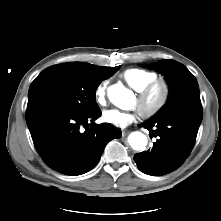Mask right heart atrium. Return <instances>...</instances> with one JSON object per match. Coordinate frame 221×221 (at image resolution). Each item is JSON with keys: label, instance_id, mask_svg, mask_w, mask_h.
<instances>
[{"label": "right heart atrium", "instance_id": "obj_1", "mask_svg": "<svg viewBox=\"0 0 221 221\" xmlns=\"http://www.w3.org/2000/svg\"><path fill=\"white\" fill-rule=\"evenodd\" d=\"M96 101L100 105H104L106 102V84L101 83L95 90Z\"/></svg>", "mask_w": 221, "mask_h": 221}]
</instances>
